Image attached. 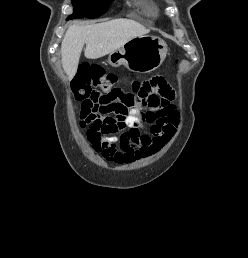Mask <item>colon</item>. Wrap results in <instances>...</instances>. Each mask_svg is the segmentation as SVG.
<instances>
[{"label":"colon","mask_w":248,"mask_h":258,"mask_svg":"<svg viewBox=\"0 0 248 258\" xmlns=\"http://www.w3.org/2000/svg\"><path fill=\"white\" fill-rule=\"evenodd\" d=\"M100 71L97 67L83 65L73 89L75 99L82 102L90 140L121 130L130 119V113L115 102L112 94L116 79L110 75L101 76ZM95 84L100 86L101 92Z\"/></svg>","instance_id":"obj_1"}]
</instances>
